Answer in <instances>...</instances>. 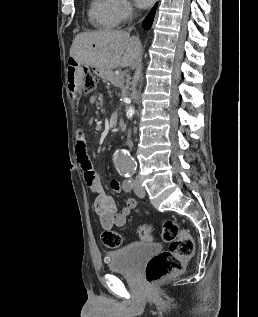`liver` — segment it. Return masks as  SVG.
<instances>
[{
	"label": "liver",
	"mask_w": 258,
	"mask_h": 317,
	"mask_svg": "<svg viewBox=\"0 0 258 317\" xmlns=\"http://www.w3.org/2000/svg\"><path fill=\"white\" fill-rule=\"evenodd\" d=\"M140 50L139 38L130 36L126 30H92L76 34L70 56L78 64L95 66L104 72L117 66H131Z\"/></svg>",
	"instance_id": "liver-1"
}]
</instances>
